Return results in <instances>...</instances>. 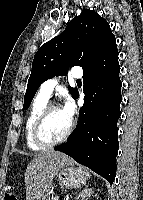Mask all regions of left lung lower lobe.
<instances>
[{
  "label": "left lung lower lobe",
  "mask_w": 143,
  "mask_h": 200,
  "mask_svg": "<svg viewBox=\"0 0 143 200\" xmlns=\"http://www.w3.org/2000/svg\"><path fill=\"white\" fill-rule=\"evenodd\" d=\"M115 38L83 69L85 94L79 121L68 141L55 148L107 179L116 176L117 121L122 101L120 66ZM78 97L76 92L73 98Z\"/></svg>",
  "instance_id": "obj_1"
}]
</instances>
